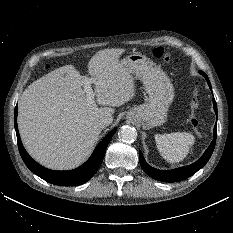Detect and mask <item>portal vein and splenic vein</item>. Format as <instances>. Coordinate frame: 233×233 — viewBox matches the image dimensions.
Masks as SVG:
<instances>
[{
	"mask_svg": "<svg viewBox=\"0 0 233 233\" xmlns=\"http://www.w3.org/2000/svg\"><path fill=\"white\" fill-rule=\"evenodd\" d=\"M91 83H92V79L91 78H87L84 82V91L86 93L87 96V101L89 103H93L94 100V92L93 89L91 87Z\"/></svg>",
	"mask_w": 233,
	"mask_h": 233,
	"instance_id": "portal-vein-and-splenic-vein-1",
	"label": "portal vein and splenic vein"
}]
</instances>
